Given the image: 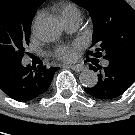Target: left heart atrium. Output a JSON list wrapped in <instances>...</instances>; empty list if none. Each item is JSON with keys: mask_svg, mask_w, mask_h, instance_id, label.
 I'll list each match as a JSON object with an SVG mask.
<instances>
[{"mask_svg": "<svg viewBox=\"0 0 135 135\" xmlns=\"http://www.w3.org/2000/svg\"><path fill=\"white\" fill-rule=\"evenodd\" d=\"M55 56L64 61H72L75 59V51L70 47H59L55 52Z\"/></svg>", "mask_w": 135, "mask_h": 135, "instance_id": "39dd6f15", "label": "left heart atrium"}]
</instances>
